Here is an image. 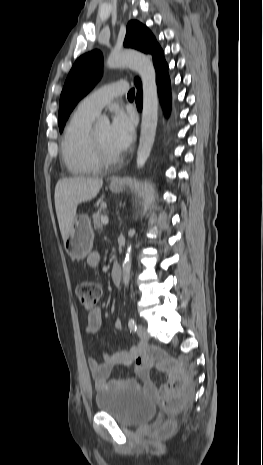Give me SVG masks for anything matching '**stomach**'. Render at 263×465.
<instances>
[{"instance_id":"0dacf381","label":"stomach","mask_w":263,"mask_h":465,"mask_svg":"<svg viewBox=\"0 0 263 465\" xmlns=\"http://www.w3.org/2000/svg\"><path fill=\"white\" fill-rule=\"evenodd\" d=\"M123 189V183L110 185V190L113 193H119ZM93 240L94 232L90 218L87 215H79L74 218L69 228L67 237L64 240V248L71 258L81 260L92 250Z\"/></svg>"}]
</instances>
